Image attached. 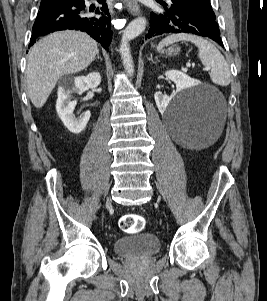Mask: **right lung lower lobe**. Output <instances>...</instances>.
Returning a JSON list of instances; mask_svg holds the SVG:
<instances>
[{
    "instance_id": "obj_1",
    "label": "right lung lower lobe",
    "mask_w": 267,
    "mask_h": 301,
    "mask_svg": "<svg viewBox=\"0 0 267 301\" xmlns=\"http://www.w3.org/2000/svg\"><path fill=\"white\" fill-rule=\"evenodd\" d=\"M101 7L85 5L84 0H63L40 9L33 26L31 43L51 32L75 29L86 32L107 51L111 43V16L106 0H97Z\"/></svg>"
}]
</instances>
